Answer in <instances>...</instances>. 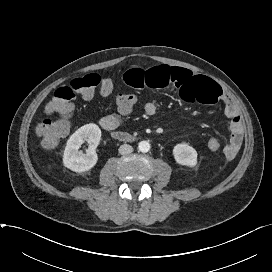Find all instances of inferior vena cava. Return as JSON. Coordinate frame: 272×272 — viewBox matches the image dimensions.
Returning <instances> with one entry per match:
<instances>
[{"instance_id":"602c4592","label":"inferior vena cava","mask_w":272,"mask_h":272,"mask_svg":"<svg viewBox=\"0 0 272 272\" xmlns=\"http://www.w3.org/2000/svg\"><path fill=\"white\" fill-rule=\"evenodd\" d=\"M132 151V146L128 144H123L119 147V153L122 155L130 154Z\"/></svg>"}]
</instances>
